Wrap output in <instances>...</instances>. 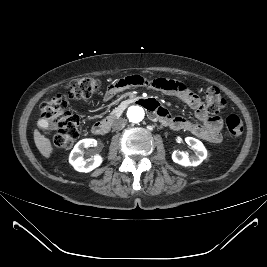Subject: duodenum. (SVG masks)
I'll use <instances>...</instances> for the list:
<instances>
[{
  "label": "duodenum",
  "mask_w": 267,
  "mask_h": 267,
  "mask_svg": "<svg viewBox=\"0 0 267 267\" xmlns=\"http://www.w3.org/2000/svg\"><path fill=\"white\" fill-rule=\"evenodd\" d=\"M135 102H138L144 105L149 110H154L157 107L156 103L153 100H135ZM110 127H111L110 119L102 120V121L96 122L92 126V133L95 135H99V136L105 135L109 132Z\"/></svg>",
  "instance_id": "duodenum-1"
}]
</instances>
